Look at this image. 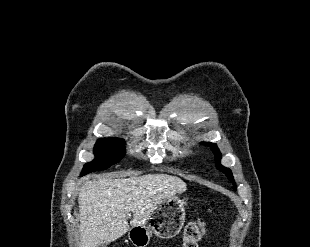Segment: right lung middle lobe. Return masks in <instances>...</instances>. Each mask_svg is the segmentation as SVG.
<instances>
[{
  "label": "right lung middle lobe",
  "mask_w": 310,
  "mask_h": 247,
  "mask_svg": "<svg viewBox=\"0 0 310 247\" xmlns=\"http://www.w3.org/2000/svg\"><path fill=\"white\" fill-rule=\"evenodd\" d=\"M94 154L95 159L84 165L81 176L119 162L125 155L124 142L117 138H101L95 144Z\"/></svg>",
  "instance_id": "dd1d6c3e"
}]
</instances>
